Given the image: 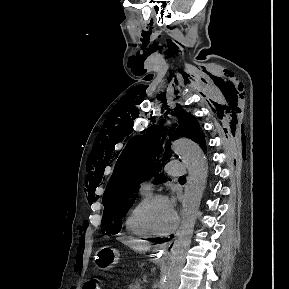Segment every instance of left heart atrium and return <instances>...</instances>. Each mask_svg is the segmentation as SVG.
Wrapping results in <instances>:
<instances>
[{
    "mask_svg": "<svg viewBox=\"0 0 289 289\" xmlns=\"http://www.w3.org/2000/svg\"><path fill=\"white\" fill-rule=\"evenodd\" d=\"M167 203H168L169 210L172 212V214H174V200L173 199H168Z\"/></svg>",
    "mask_w": 289,
    "mask_h": 289,
    "instance_id": "39dd6f15",
    "label": "left heart atrium"
}]
</instances>
